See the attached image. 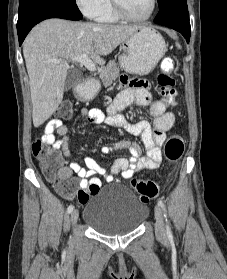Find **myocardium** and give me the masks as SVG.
<instances>
[{"label": "myocardium", "instance_id": "myocardium-1", "mask_svg": "<svg viewBox=\"0 0 227 279\" xmlns=\"http://www.w3.org/2000/svg\"><path fill=\"white\" fill-rule=\"evenodd\" d=\"M114 12L122 19L133 21V22H142L148 20L155 12L157 7V0H151V6L148 13L142 17L132 16L121 4L120 0H110Z\"/></svg>", "mask_w": 227, "mask_h": 279}]
</instances>
